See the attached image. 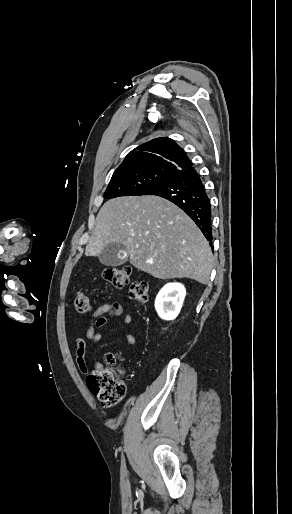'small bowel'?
<instances>
[{
    "instance_id": "1",
    "label": "small bowel",
    "mask_w": 292,
    "mask_h": 514,
    "mask_svg": "<svg viewBox=\"0 0 292 514\" xmlns=\"http://www.w3.org/2000/svg\"><path fill=\"white\" fill-rule=\"evenodd\" d=\"M113 318H120L123 325H130L133 321L131 315H123V306L119 302L104 303L94 311L90 326L84 336L75 339L76 364L81 374L88 375L90 373L86 359V339L94 343L98 342L100 330ZM123 337L129 345H135L138 342L137 336L130 332H124ZM94 365L97 371L102 369L99 361H95Z\"/></svg>"
}]
</instances>
